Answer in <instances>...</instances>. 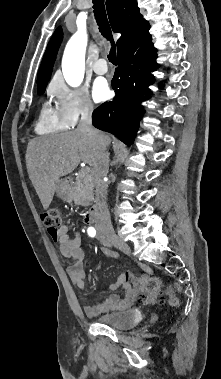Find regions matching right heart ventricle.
Segmentation results:
<instances>
[{
	"mask_svg": "<svg viewBox=\"0 0 221 379\" xmlns=\"http://www.w3.org/2000/svg\"><path fill=\"white\" fill-rule=\"evenodd\" d=\"M69 127L67 122L62 118L58 110L50 104L44 102L35 124V130L39 134H52Z\"/></svg>",
	"mask_w": 221,
	"mask_h": 379,
	"instance_id": "e07e8e85",
	"label": "right heart ventricle"
}]
</instances>
